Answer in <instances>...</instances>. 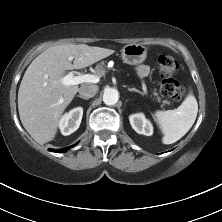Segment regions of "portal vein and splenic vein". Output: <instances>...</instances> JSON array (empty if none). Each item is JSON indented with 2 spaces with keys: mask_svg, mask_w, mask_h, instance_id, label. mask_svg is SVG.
<instances>
[{
  "mask_svg": "<svg viewBox=\"0 0 222 222\" xmlns=\"http://www.w3.org/2000/svg\"><path fill=\"white\" fill-rule=\"evenodd\" d=\"M100 80V77L97 75H92V74H83V75H78L74 76L72 72L69 74L65 75L62 78V83L66 86H71V85H78L81 83H98ZM143 90L146 93V85L143 83L142 84Z\"/></svg>",
  "mask_w": 222,
  "mask_h": 222,
  "instance_id": "18ae733b",
  "label": "portal vein and splenic vein"
}]
</instances>
